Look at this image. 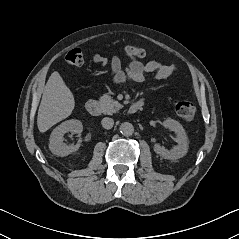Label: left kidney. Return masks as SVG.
<instances>
[{
	"label": "left kidney",
	"instance_id": "left-kidney-1",
	"mask_svg": "<svg viewBox=\"0 0 239 239\" xmlns=\"http://www.w3.org/2000/svg\"><path fill=\"white\" fill-rule=\"evenodd\" d=\"M162 125L164 128L175 132L178 145L172 150H168L160 144H154V151L167 160H176L184 157L188 151V138L183 126L178 121L170 118L164 120Z\"/></svg>",
	"mask_w": 239,
	"mask_h": 239
}]
</instances>
